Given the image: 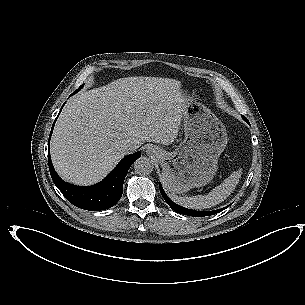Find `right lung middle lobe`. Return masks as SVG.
I'll list each match as a JSON object with an SVG mask.
<instances>
[{"label": "right lung middle lobe", "mask_w": 305, "mask_h": 305, "mask_svg": "<svg viewBox=\"0 0 305 305\" xmlns=\"http://www.w3.org/2000/svg\"><path fill=\"white\" fill-rule=\"evenodd\" d=\"M81 88H82V86H81L78 90H80ZM78 90H77V91H78ZM77 91H76V92H77Z\"/></svg>", "instance_id": "obj_1"}]
</instances>
